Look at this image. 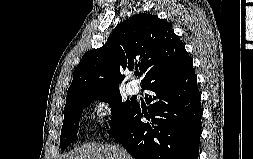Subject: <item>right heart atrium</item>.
Listing matches in <instances>:
<instances>
[{
	"label": "right heart atrium",
	"instance_id": "d8ad5b80",
	"mask_svg": "<svg viewBox=\"0 0 253 159\" xmlns=\"http://www.w3.org/2000/svg\"><path fill=\"white\" fill-rule=\"evenodd\" d=\"M112 107L108 99L100 98L92 105V114L100 128H105L112 119Z\"/></svg>",
	"mask_w": 253,
	"mask_h": 159
}]
</instances>
